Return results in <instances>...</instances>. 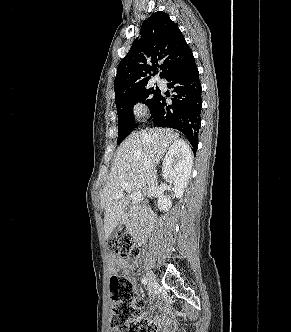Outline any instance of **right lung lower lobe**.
<instances>
[{"mask_svg": "<svg viewBox=\"0 0 291 332\" xmlns=\"http://www.w3.org/2000/svg\"><path fill=\"white\" fill-rule=\"evenodd\" d=\"M164 78L175 93L172 95V104L166 103L169 95L160 92L150 109L149 120L152 119L158 127L174 128L184 133L195 153L201 123L202 90L194 57L172 69Z\"/></svg>", "mask_w": 291, "mask_h": 332, "instance_id": "obj_1", "label": "right lung lower lobe"}]
</instances>
